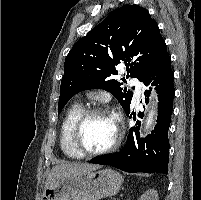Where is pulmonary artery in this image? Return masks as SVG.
<instances>
[{
    "instance_id": "1",
    "label": "pulmonary artery",
    "mask_w": 201,
    "mask_h": 200,
    "mask_svg": "<svg viewBox=\"0 0 201 200\" xmlns=\"http://www.w3.org/2000/svg\"><path fill=\"white\" fill-rule=\"evenodd\" d=\"M133 84L136 85V88H137V91H136V93H135V95H134V100L137 101L138 98H139V96H140V91H139V89L142 87V84L138 81L137 78H134V79H133Z\"/></svg>"
}]
</instances>
